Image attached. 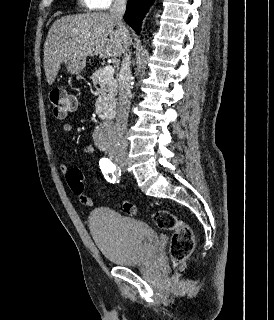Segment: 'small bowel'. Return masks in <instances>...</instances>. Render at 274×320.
Instances as JSON below:
<instances>
[{"label":"small bowel","mask_w":274,"mask_h":320,"mask_svg":"<svg viewBox=\"0 0 274 320\" xmlns=\"http://www.w3.org/2000/svg\"><path fill=\"white\" fill-rule=\"evenodd\" d=\"M63 132L66 133V134H70L72 133L73 129H74V126L72 123H65L63 124ZM96 150V148L92 145H88L86 146L84 149H83V152L85 154H91L93 153L94 151ZM59 170L62 172V173H67V171L69 170L68 166L66 164H60L59 166ZM79 201L84 204V205H88V206H91L92 205V200L85 196L84 198H79Z\"/></svg>","instance_id":"c3829d8e"}]
</instances>
